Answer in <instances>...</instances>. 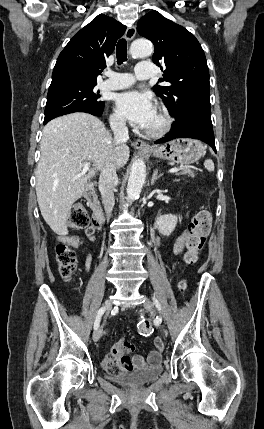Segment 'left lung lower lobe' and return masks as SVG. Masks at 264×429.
Returning a JSON list of instances; mask_svg holds the SVG:
<instances>
[{
    "label": "left lung lower lobe",
    "mask_w": 264,
    "mask_h": 429,
    "mask_svg": "<svg viewBox=\"0 0 264 429\" xmlns=\"http://www.w3.org/2000/svg\"><path fill=\"white\" fill-rule=\"evenodd\" d=\"M176 138L202 140L209 144L216 152L210 106L198 105L189 107L184 117L176 120L172 125L171 133L157 140L155 143H163Z\"/></svg>",
    "instance_id": "1"
}]
</instances>
